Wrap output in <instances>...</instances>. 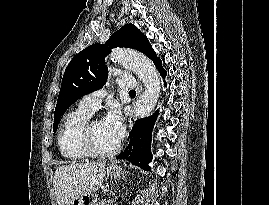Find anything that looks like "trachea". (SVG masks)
I'll use <instances>...</instances> for the list:
<instances>
[{
  "label": "trachea",
  "mask_w": 269,
  "mask_h": 205,
  "mask_svg": "<svg viewBox=\"0 0 269 205\" xmlns=\"http://www.w3.org/2000/svg\"><path fill=\"white\" fill-rule=\"evenodd\" d=\"M129 94H135L136 95V91L135 90H131V91H129Z\"/></svg>",
  "instance_id": "3493384b"
}]
</instances>
